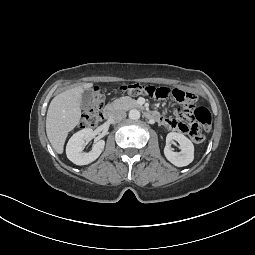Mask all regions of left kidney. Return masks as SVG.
I'll return each mask as SVG.
<instances>
[{"label":"left kidney","instance_id":"1","mask_svg":"<svg viewBox=\"0 0 255 255\" xmlns=\"http://www.w3.org/2000/svg\"><path fill=\"white\" fill-rule=\"evenodd\" d=\"M177 141L180 144V152H174L171 148V143ZM164 155L168 161L177 167L189 165L194 160V145L183 134L170 132L166 137V146Z\"/></svg>","mask_w":255,"mask_h":255}]
</instances>
